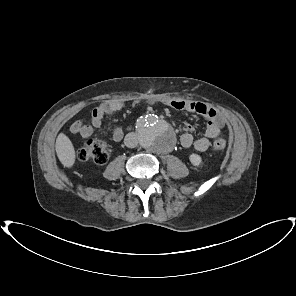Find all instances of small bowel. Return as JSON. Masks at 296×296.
<instances>
[{
    "label": "small bowel",
    "mask_w": 296,
    "mask_h": 296,
    "mask_svg": "<svg viewBox=\"0 0 296 296\" xmlns=\"http://www.w3.org/2000/svg\"><path fill=\"white\" fill-rule=\"evenodd\" d=\"M161 102L176 110L198 113L207 120L204 135L197 139L190 132L192 129L191 125L188 123L185 124L186 132L180 137V143L183 147H193L199 152L206 151L210 146V140L218 137L226 124L225 118L216 109L206 103L173 98H162ZM124 106L125 103L120 100L105 101L93 109L90 124L75 121L71 124L70 131L83 138H89L93 135L94 129L101 126L105 116L122 109ZM123 135V129L116 127L111 132V139L118 142L123 138Z\"/></svg>",
    "instance_id": "small-bowel-1"
}]
</instances>
